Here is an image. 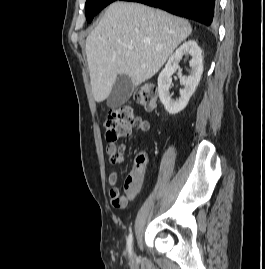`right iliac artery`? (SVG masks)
Returning <instances> with one entry per match:
<instances>
[{
    "label": "right iliac artery",
    "mask_w": 265,
    "mask_h": 269,
    "mask_svg": "<svg viewBox=\"0 0 265 269\" xmlns=\"http://www.w3.org/2000/svg\"><path fill=\"white\" fill-rule=\"evenodd\" d=\"M132 244H133V235L132 233H130L127 238V251L130 256L132 255Z\"/></svg>",
    "instance_id": "1"
}]
</instances>
